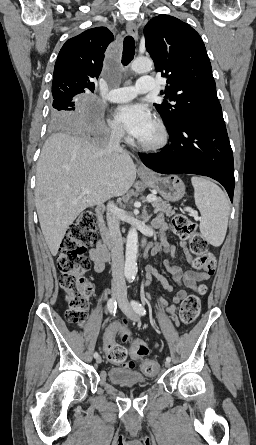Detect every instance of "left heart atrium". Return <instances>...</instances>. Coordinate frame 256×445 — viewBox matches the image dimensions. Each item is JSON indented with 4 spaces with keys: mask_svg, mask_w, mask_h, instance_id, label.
I'll return each mask as SVG.
<instances>
[{
    "mask_svg": "<svg viewBox=\"0 0 256 445\" xmlns=\"http://www.w3.org/2000/svg\"><path fill=\"white\" fill-rule=\"evenodd\" d=\"M116 120L131 136L142 140L155 126L150 111L139 104H128L117 108Z\"/></svg>",
    "mask_w": 256,
    "mask_h": 445,
    "instance_id": "obj_1",
    "label": "left heart atrium"
}]
</instances>
